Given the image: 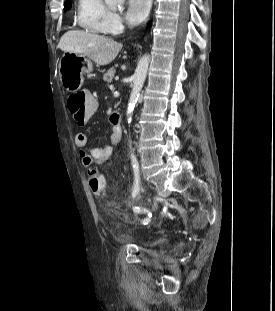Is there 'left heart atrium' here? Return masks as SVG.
Instances as JSON below:
<instances>
[{
    "label": "left heart atrium",
    "instance_id": "left-heart-atrium-1",
    "mask_svg": "<svg viewBox=\"0 0 275 311\" xmlns=\"http://www.w3.org/2000/svg\"><path fill=\"white\" fill-rule=\"evenodd\" d=\"M151 6V0H128L126 19L131 24H138L145 19Z\"/></svg>",
    "mask_w": 275,
    "mask_h": 311
}]
</instances>
